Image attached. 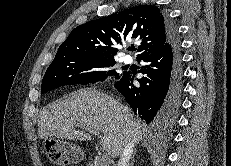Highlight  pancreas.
<instances>
[{"mask_svg": "<svg viewBox=\"0 0 231 166\" xmlns=\"http://www.w3.org/2000/svg\"><path fill=\"white\" fill-rule=\"evenodd\" d=\"M86 166H106V165L101 161V158H97L87 163Z\"/></svg>", "mask_w": 231, "mask_h": 166, "instance_id": "pancreas-1", "label": "pancreas"}]
</instances>
